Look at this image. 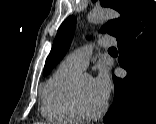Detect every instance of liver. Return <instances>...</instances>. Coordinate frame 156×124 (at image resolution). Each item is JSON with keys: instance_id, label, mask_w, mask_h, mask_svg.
I'll list each match as a JSON object with an SVG mask.
<instances>
[{"instance_id": "liver-1", "label": "liver", "mask_w": 156, "mask_h": 124, "mask_svg": "<svg viewBox=\"0 0 156 124\" xmlns=\"http://www.w3.org/2000/svg\"><path fill=\"white\" fill-rule=\"evenodd\" d=\"M35 124H43V123H41V122H37V123H35Z\"/></svg>"}]
</instances>
